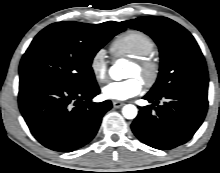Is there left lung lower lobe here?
<instances>
[{
    "label": "left lung lower lobe",
    "mask_w": 220,
    "mask_h": 173,
    "mask_svg": "<svg viewBox=\"0 0 220 173\" xmlns=\"http://www.w3.org/2000/svg\"><path fill=\"white\" fill-rule=\"evenodd\" d=\"M153 105L141 107L131 125L136 137L160 150H170L189 141L207 112L205 90L178 89L163 95L147 94ZM160 99L163 105L155 107Z\"/></svg>",
    "instance_id": "1"
}]
</instances>
